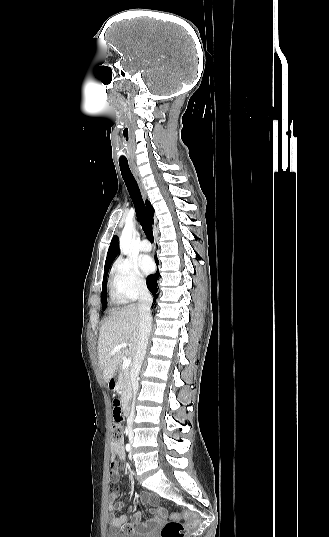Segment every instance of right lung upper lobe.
<instances>
[{"label": "right lung upper lobe", "instance_id": "cb5924a9", "mask_svg": "<svg viewBox=\"0 0 329 537\" xmlns=\"http://www.w3.org/2000/svg\"><path fill=\"white\" fill-rule=\"evenodd\" d=\"M146 206H147L148 214H149L150 219L152 221V217L154 215V208L152 207V205L150 204V202L148 200H146ZM117 243H118V238H117V236H114L112 238V240H111V244H110V247L108 249L104 269L110 268L112 262L114 261V259L118 255Z\"/></svg>", "mask_w": 329, "mask_h": 537}]
</instances>
